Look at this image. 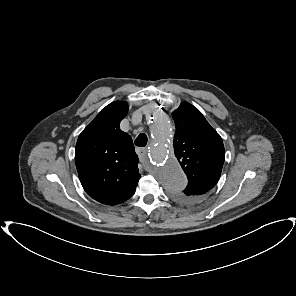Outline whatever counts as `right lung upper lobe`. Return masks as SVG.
<instances>
[{
    "mask_svg": "<svg viewBox=\"0 0 296 296\" xmlns=\"http://www.w3.org/2000/svg\"><path fill=\"white\" fill-rule=\"evenodd\" d=\"M128 105L115 101L82 131L75 148V162L84 190L96 201L120 204L135 192L141 178L132 138L119 124Z\"/></svg>",
    "mask_w": 296,
    "mask_h": 296,
    "instance_id": "obj_1",
    "label": "right lung upper lobe"
}]
</instances>
